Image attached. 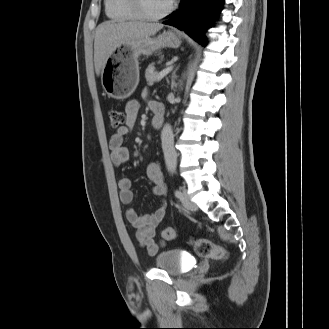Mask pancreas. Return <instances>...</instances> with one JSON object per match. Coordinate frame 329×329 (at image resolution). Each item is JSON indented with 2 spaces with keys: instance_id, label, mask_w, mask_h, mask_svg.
<instances>
[{
  "instance_id": "pancreas-1",
  "label": "pancreas",
  "mask_w": 329,
  "mask_h": 329,
  "mask_svg": "<svg viewBox=\"0 0 329 329\" xmlns=\"http://www.w3.org/2000/svg\"><path fill=\"white\" fill-rule=\"evenodd\" d=\"M157 72L155 71L154 64H150L145 72V78L149 85H152L156 81Z\"/></svg>"
}]
</instances>
